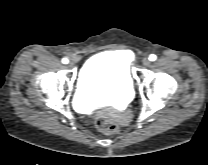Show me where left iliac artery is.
I'll use <instances>...</instances> for the list:
<instances>
[{
    "instance_id": "left-iliac-artery-1",
    "label": "left iliac artery",
    "mask_w": 208,
    "mask_h": 165,
    "mask_svg": "<svg viewBox=\"0 0 208 165\" xmlns=\"http://www.w3.org/2000/svg\"><path fill=\"white\" fill-rule=\"evenodd\" d=\"M156 55H154V54H151L150 56H149V60L150 61H155L156 60Z\"/></svg>"
}]
</instances>
